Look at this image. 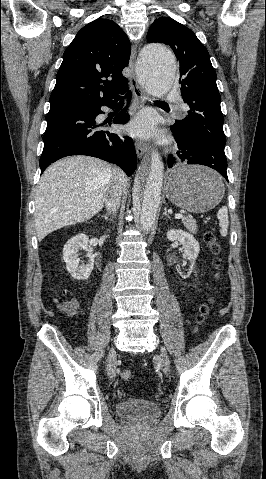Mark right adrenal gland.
I'll use <instances>...</instances> for the list:
<instances>
[{"instance_id":"1","label":"right adrenal gland","mask_w":266,"mask_h":479,"mask_svg":"<svg viewBox=\"0 0 266 479\" xmlns=\"http://www.w3.org/2000/svg\"><path fill=\"white\" fill-rule=\"evenodd\" d=\"M101 217L104 218L105 221H112V218H113V216L110 217L108 215H102Z\"/></svg>"}]
</instances>
